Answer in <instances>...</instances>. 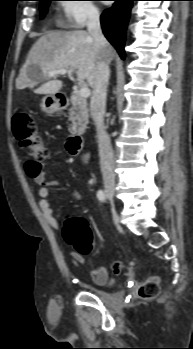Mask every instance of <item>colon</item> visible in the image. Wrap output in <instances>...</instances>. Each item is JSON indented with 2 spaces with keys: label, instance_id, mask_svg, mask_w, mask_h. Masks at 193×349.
I'll list each match as a JSON object with an SVG mask.
<instances>
[{
  "label": "colon",
  "instance_id": "obj_1",
  "mask_svg": "<svg viewBox=\"0 0 193 349\" xmlns=\"http://www.w3.org/2000/svg\"><path fill=\"white\" fill-rule=\"evenodd\" d=\"M13 131L22 148L33 157L32 162L40 164L49 157V144L39 135V128L31 115L17 113L13 117ZM64 237L83 254H88L92 249V233L84 219H70L65 226ZM159 290L158 280L152 278L141 285L138 294L144 299H152L159 294Z\"/></svg>",
  "mask_w": 193,
  "mask_h": 349
}]
</instances>
